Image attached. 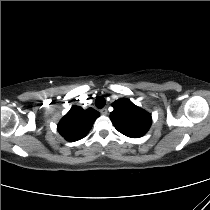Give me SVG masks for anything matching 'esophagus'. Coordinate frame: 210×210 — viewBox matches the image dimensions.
<instances>
[{"instance_id": "obj_1", "label": "esophagus", "mask_w": 210, "mask_h": 210, "mask_svg": "<svg viewBox=\"0 0 210 210\" xmlns=\"http://www.w3.org/2000/svg\"><path fill=\"white\" fill-rule=\"evenodd\" d=\"M100 113H101L102 115H107V114H108V111H107L106 108H102V109L100 110Z\"/></svg>"}]
</instances>
